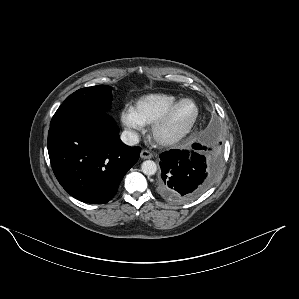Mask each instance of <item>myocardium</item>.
Instances as JSON below:
<instances>
[{
  "mask_svg": "<svg viewBox=\"0 0 299 299\" xmlns=\"http://www.w3.org/2000/svg\"><path fill=\"white\" fill-rule=\"evenodd\" d=\"M191 102L195 106V115L192 119L189 126L181 132L172 135H164L162 134V130L169 121L173 112L184 102ZM200 116V109L197 102L192 98H182L171 104L153 123L151 126V137L155 143L160 146L168 147L173 146L179 143L182 139H184L187 135L191 133L193 128L195 127Z\"/></svg>",
  "mask_w": 299,
  "mask_h": 299,
  "instance_id": "f54148a6",
  "label": "myocardium"
}]
</instances>
